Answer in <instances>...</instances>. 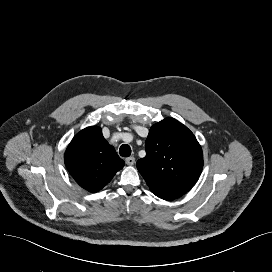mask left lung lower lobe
<instances>
[{
	"mask_svg": "<svg viewBox=\"0 0 272 272\" xmlns=\"http://www.w3.org/2000/svg\"><path fill=\"white\" fill-rule=\"evenodd\" d=\"M155 195L158 196L161 199H164V200H174V199H176V197H173L171 195H165V194H155Z\"/></svg>",
	"mask_w": 272,
	"mask_h": 272,
	"instance_id": "1",
	"label": "left lung lower lobe"
}]
</instances>
